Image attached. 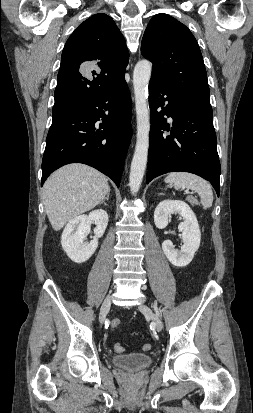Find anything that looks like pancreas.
I'll return each mask as SVG.
<instances>
[{"label":"pancreas","instance_id":"pancreas-1","mask_svg":"<svg viewBox=\"0 0 253 413\" xmlns=\"http://www.w3.org/2000/svg\"><path fill=\"white\" fill-rule=\"evenodd\" d=\"M187 200L192 204V205H196L198 204V201L193 198V197H188Z\"/></svg>","mask_w":253,"mask_h":413}]
</instances>
